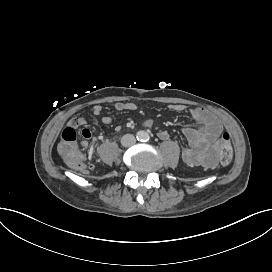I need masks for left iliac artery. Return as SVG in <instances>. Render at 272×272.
Returning a JSON list of instances; mask_svg holds the SVG:
<instances>
[{"mask_svg": "<svg viewBox=\"0 0 272 272\" xmlns=\"http://www.w3.org/2000/svg\"><path fill=\"white\" fill-rule=\"evenodd\" d=\"M150 140V136L148 134H145L144 136V141L147 142Z\"/></svg>", "mask_w": 272, "mask_h": 272, "instance_id": "1", "label": "left iliac artery"}]
</instances>
